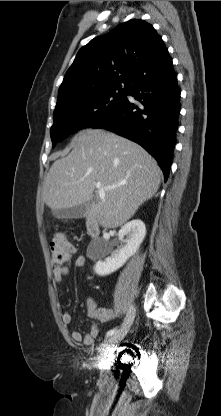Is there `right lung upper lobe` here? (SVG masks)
<instances>
[{
  "mask_svg": "<svg viewBox=\"0 0 221 416\" xmlns=\"http://www.w3.org/2000/svg\"><path fill=\"white\" fill-rule=\"evenodd\" d=\"M172 59L151 24L132 19L82 47L65 74L56 106L111 89L166 78Z\"/></svg>",
  "mask_w": 221,
  "mask_h": 416,
  "instance_id": "right-lung-upper-lobe-1",
  "label": "right lung upper lobe"
}]
</instances>
